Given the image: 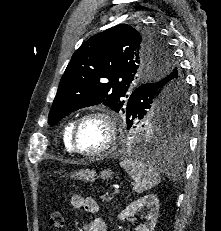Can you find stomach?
Segmentation results:
<instances>
[{"mask_svg":"<svg viewBox=\"0 0 221 231\" xmlns=\"http://www.w3.org/2000/svg\"><path fill=\"white\" fill-rule=\"evenodd\" d=\"M113 172L111 170H103L99 173V175L96 174L95 170H79L78 172L71 173V177L82 180L85 182H93L96 178H102V179H111L113 177Z\"/></svg>","mask_w":221,"mask_h":231,"instance_id":"obj_1","label":"stomach"}]
</instances>
